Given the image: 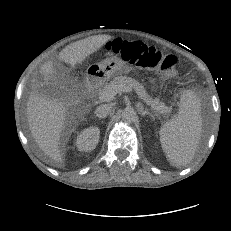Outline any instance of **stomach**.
<instances>
[{
  "mask_svg": "<svg viewBox=\"0 0 231 231\" xmlns=\"http://www.w3.org/2000/svg\"><path fill=\"white\" fill-rule=\"evenodd\" d=\"M129 72V68L119 57L113 56L100 63L93 64L87 69V77L98 81H106L115 75Z\"/></svg>",
  "mask_w": 231,
  "mask_h": 231,
  "instance_id": "obj_1",
  "label": "stomach"
}]
</instances>
